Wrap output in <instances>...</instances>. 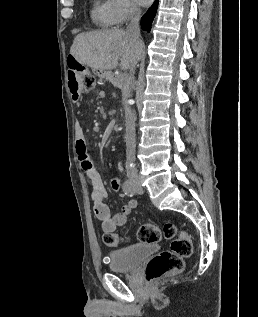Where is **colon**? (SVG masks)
Wrapping results in <instances>:
<instances>
[{"label":"colon","instance_id":"obj_1","mask_svg":"<svg viewBox=\"0 0 258 317\" xmlns=\"http://www.w3.org/2000/svg\"><path fill=\"white\" fill-rule=\"evenodd\" d=\"M69 67L76 68L82 79L86 92L94 89L96 80L94 75L82 67L72 55L68 57ZM138 237L140 241L155 243L166 238L171 241L169 250L160 252L153 256L145 266V277L148 282H154L184 268V258L189 257L193 251L191 238L185 232H179L173 223H166L162 229L154 224H145L139 228ZM103 241L108 247H119L124 238L118 233H105Z\"/></svg>","mask_w":258,"mask_h":317}]
</instances>
